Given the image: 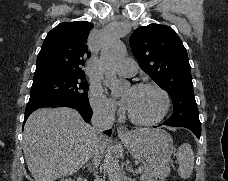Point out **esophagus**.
<instances>
[{"label": "esophagus", "mask_w": 228, "mask_h": 181, "mask_svg": "<svg viewBox=\"0 0 228 181\" xmlns=\"http://www.w3.org/2000/svg\"><path fill=\"white\" fill-rule=\"evenodd\" d=\"M117 134L119 137H127L130 135V132L128 131V128H126L125 126H118Z\"/></svg>", "instance_id": "34e87169"}]
</instances>
